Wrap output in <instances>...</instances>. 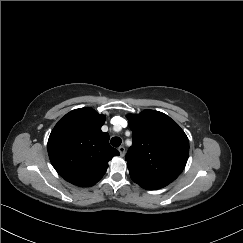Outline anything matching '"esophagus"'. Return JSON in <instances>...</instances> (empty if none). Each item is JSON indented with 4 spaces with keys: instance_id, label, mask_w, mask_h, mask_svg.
<instances>
[{
    "instance_id": "esophagus-1",
    "label": "esophagus",
    "mask_w": 243,
    "mask_h": 243,
    "mask_svg": "<svg viewBox=\"0 0 243 243\" xmlns=\"http://www.w3.org/2000/svg\"><path fill=\"white\" fill-rule=\"evenodd\" d=\"M118 150H119V152H120V156H121V157H124V156H125V148H124V146H120V147L118 148Z\"/></svg>"
}]
</instances>
